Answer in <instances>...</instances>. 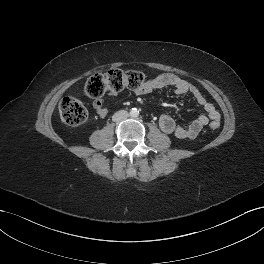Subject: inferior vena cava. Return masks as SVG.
<instances>
[{"label":"inferior vena cava","instance_id":"inferior-vena-cava-1","mask_svg":"<svg viewBox=\"0 0 264 264\" xmlns=\"http://www.w3.org/2000/svg\"><path fill=\"white\" fill-rule=\"evenodd\" d=\"M129 116L128 112L125 110H120L118 112H116L113 117L112 120L114 122H118L120 120L126 119Z\"/></svg>","mask_w":264,"mask_h":264}]
</instances>
